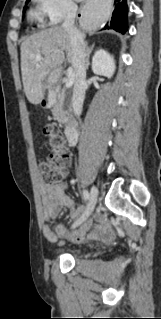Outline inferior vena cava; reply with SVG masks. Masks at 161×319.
I'll return each instance as SVG.
<instances>
[{
  "label": "inferior vena cava",
  "instance_id": "1",
  "mask_svg": "<svg viewBox=\"0 0 161 319\" xmlns=\"http://www.w3.org/2000/svg\"><path fill=\"white\" fill-rule=\"evenodd\" d=\"M77 5L70 4L62 27L68 32L72 46V65L75 71V83L72 96V108L75 115L80 116L85 98L86 85V44L83 35L74 26Z\"/></svg>",
  "mask_w": 161,
  "mask_h": 319
}]
</instances>
